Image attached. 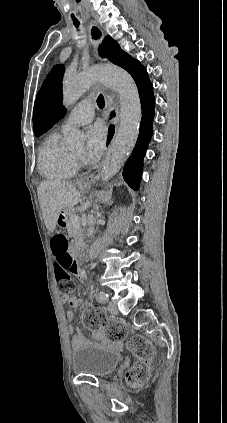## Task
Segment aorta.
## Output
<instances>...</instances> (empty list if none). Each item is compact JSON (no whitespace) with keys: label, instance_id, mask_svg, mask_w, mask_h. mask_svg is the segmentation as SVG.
Here are the masks:
<instances>
[{"label":"aorta","instance_id":"aorta-1","mask_svg":"<svg viewBox=\"0 0 227 423\" xmlns=\"http://www.w3.org/2000/svg\"><path fill=\"white\" fill-rule=\"evenodd\" d=\"M101 81L117 91L120 102V125L113 138L102 167V179L108 181L121 168L136 143L141 121V103L137 86L132 77L123 69L115 66H96L78 75L67 76L63 83V104L73 105L87 88ZM83 134L76 128H70L65 143L74 148L82 145ZM94 225L87 230L88 238L94 235Z\"/></svg>","mask_w":227,"mask_h":423}]
</instances>
